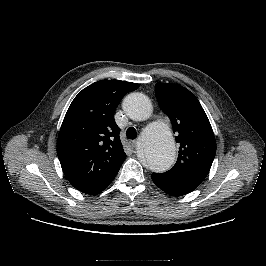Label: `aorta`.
Wrapping results in <instances>:
<instances>
[{
  "label": "aorta",
  "instance_id": "aorta-1",
  "mask_svg": "<svg viewBox=\"0 0 266 266\" xmlns=\"http://www.w3.org/2000/svg\"><path fill=\"white\" fill-rule=\"evenodd\" d=\"M128 117L143 121L150 117L152 105L141 93L128 95L123 102ZM141 159L154 172H164L171 168L176 158L175 141L170 127L162 122L150 125L142 134Z\"/></svg>",
  "mask_w": 266,
  "mask_h": 266
}]
</instances>
